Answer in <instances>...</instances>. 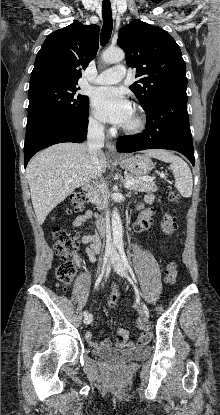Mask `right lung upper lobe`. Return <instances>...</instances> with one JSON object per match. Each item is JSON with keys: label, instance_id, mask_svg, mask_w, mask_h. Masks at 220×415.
<instances>
[{"label": "right lung upper lobe", "instance_id": "1", "mask_svg": "<svg viewBox=\"0 0 220 415\" xmlns=\"http://www.w3.org/2000/svg\"><path fill=\"white\" fill-rule=\"evenodd\" d=\"M99 47V27L74 21L52 32L39 50L30 80L55 78L78 82Z\"/></svg>", "mask_w": 220, "mask_h": 415}]
</instances>
